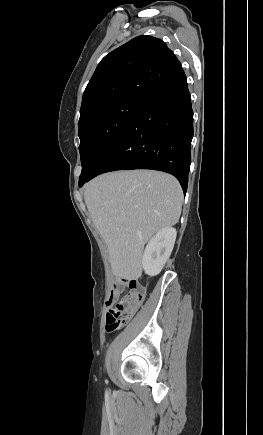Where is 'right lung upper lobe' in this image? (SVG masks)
Wrapping results in <instances>:
<instances>
[{
    "mask_svg": "<svg viewBox=\"0 0 263 435\" xmlns=\"http://www.w3.org/2000/svg\"><path fill=\"white\" fill-rule=\"evenodd\" d=\"M182 70L162 40L151 36L130 40L98 64L83 93L78 125L101 105L124 99L145 102Z\"/></svg>",
    "mask_w": 263,
    "mask_h": 435,
    "instance_id": "cb5924a9",
    "label": "right lung upper lobe"
}]
</instances>
